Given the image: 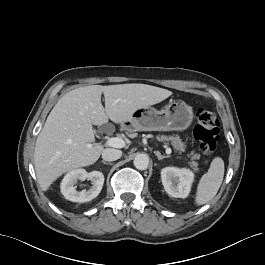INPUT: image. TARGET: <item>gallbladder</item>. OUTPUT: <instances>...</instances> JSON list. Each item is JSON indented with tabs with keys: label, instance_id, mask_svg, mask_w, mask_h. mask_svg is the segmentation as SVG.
Listing matches in <instances>:
<instances>
[{
	"label": "gallbladder",
	"instance_id": "gallbladder-1",
	"mask_svg": "<svg viewBox=\"0 0 265 265\" xmlns=\"http://www.w3.org/2000/svg\"><path fill=\"white\" fill-rule=\"evenodd\" d=\"M105 127H106V125L101 130H104Z\"/></svg>",
	"mask_w": 265,
	"mask_h": 265
}]
</instances>
